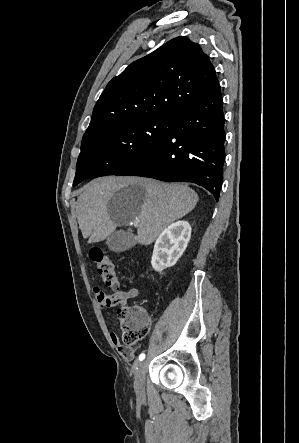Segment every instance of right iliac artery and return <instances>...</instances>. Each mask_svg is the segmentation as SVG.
Instances as JSON below:
<instances>
[{
    "instance_id": "obj_1",
    "label": "right iliac artery",
    "mask_w": 299,
    "mask_h": 443,
    "mask_svg": "<svg viewBox=\"0 0 299 443\" xmlns=\"http://www.w3.org/2000/svg\"><path fill=\"white\" fill-rule=\"evenodd\" d=\"M144 359H145V354H144V353H141V354L139 355V360L142 361V360H144Z\"/></svg>"
}]
</instances>
